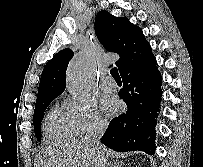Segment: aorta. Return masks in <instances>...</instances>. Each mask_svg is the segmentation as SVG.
I'll return each instance as SVG.
<instances>
[{
    "label": "aorta",
    "mask_w": 203,
    "mask_h": 167,
    "mask_svg": "<svg viewBox=\"0 0 203 167\" xmlns=\"http://www.w3.org/2000/svg\"><path fill=\"white\" fill-rule=\"evenodd\" d=\"M93 74V59L86 53L77 54L69 63L67 69V88L78 100H86L91 95Z\"/></svg>",
    "instance_id": "aorta-1"
}]
</instances>
